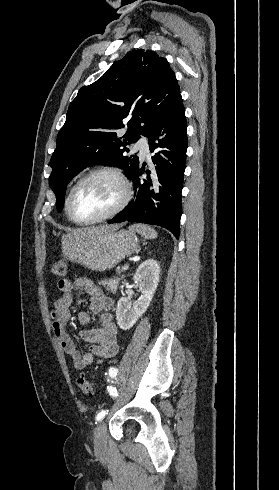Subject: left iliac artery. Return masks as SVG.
Instances as JSON below:
<instances>
[{
  "instance_id": "obj_1",
  "label": "left iliac artery",
  "mask_w": 279,
  "mask_h": 490,
  "mask_svg": "<svg viewBox=\"0 0 279 490\" xmlns=\"http://www.w3.org/2000/svg\"><path fill=\"white\" fill-rule=\"evenodd\" d=\"M109 373H110V375L116 376L117 375V370L114 369V368H110ZM107 389H108V392L110 393V395H112L114 397H117L118 396V393H117V390H116L115 387L108 386ZM107 413H108V410H102V411H100L97 414V416H96V421H98V422L101 421L105 417V415Z\"/></svg>"
}]
</instances>
